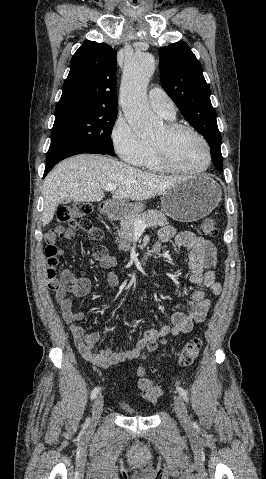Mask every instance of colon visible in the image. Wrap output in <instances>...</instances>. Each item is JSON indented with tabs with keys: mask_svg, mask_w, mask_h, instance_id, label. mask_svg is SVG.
Wrapping results in <instances>:
<instances>
[{
	"mask_svg": "<svg viewBox=\"0 0 266 479\" xmlns=\"http://www.w3.org/2000/svg\"><path fill=\"white\" fill-rule=\"evenodd\" d=\"M92 212V206L88 202H78L72 205L61 207L57 212V220L60 224L66 225L71 231L82 232L88 236L89 240L98 244L102 240V231L96 227L88 216ZM59 229H53L46 235L47 246L45 253L49 265L48 277L51 283L56 278L55 268L59 264L61 250L54 244L59 235ZM201 234L208 237H216L218 230L215 225V220L212 217L204 218L199 227ZM202 342L199 338H194L188 341L181 352L179 353V364L182 366H189L198 358L201 350ZM150 349L155 348V344L149 345ZM139 382L138 386L141 390L143 398L151 403L156 402L161 397V390L152 378L149 377L145 367L138 368Z\"/></svg>",
	"mask_w": 266,
	"mask_h": 479,
	"instance_id": "1",
	"label": "colon"
}]
</instances>
